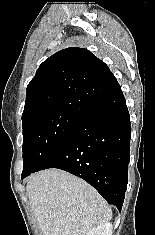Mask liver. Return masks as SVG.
Listing matches in <instances>:
<instances>
[{
	"label": "liver",
	"instance_id": "6515ba94",
	"mask_svg": "<svg viewBox=\"0 0 155 235\" xmlns=\"http://www.w3.org/2000/svg\"><path fill=\"white\" fill-rule=\"evenodd\" d=\"M26 189L42 235H87L112 217L111 208L92 186L62 170L32 175Z\"/></svg>",
	"mask_w": 155,
	"mask_h": 235
}]
</instances>
